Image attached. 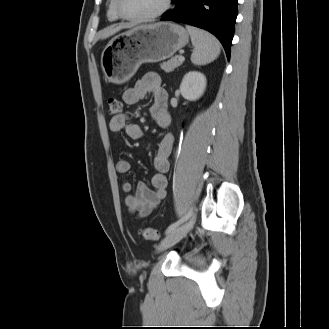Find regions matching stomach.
I'll list each match as a JSON object with an SVG mask.
<instances>
[{
	"label": "stomach",
	"instance_id": "stomach-1",
	"mask_svg": "<svg viewBox=\"0 0 329 329\" xmlns=\"http://www.w3.org/2000/svg\"><path fill=\"white\" fill-rule=\"evenodd\" d=\"M189 40L187 31L171 22L137 26L113 37L101 55L106 79L115 84L128 81L143 63L170 58Z\"/></svg>",
	"mask_w": 329,
	"mask_h": 329
}]
</instances>
